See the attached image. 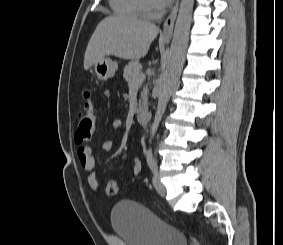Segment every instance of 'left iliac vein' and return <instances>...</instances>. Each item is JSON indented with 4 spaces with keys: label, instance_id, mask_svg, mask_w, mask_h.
I'll list each match as a JSON object with an SVG mask.
<instances>
[{
    "label": "left iliac vein",
    "instance_id": "obj_1",
    "mask_svg": "<svg viewBox=\"0 0 283 245\" xmlns=\"http://www.w3.org/2000/svg\"><path fill=\"white\" fill-rule=\"evenodd\" d=\"M152 182L158 194L164 197L166 195V188L164 184L161 182L160 176L157 170L154 171Z\"/></svg>",
    "mask_w": 283,
    "mask_h": 245
}]
</instances>
